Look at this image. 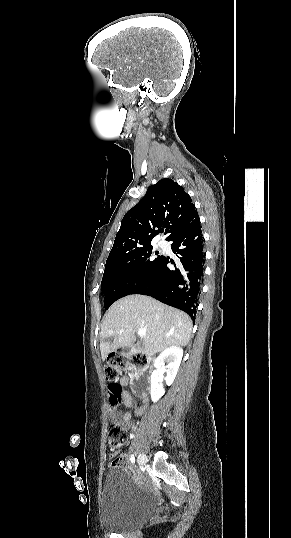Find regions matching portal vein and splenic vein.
<instances>
[{
  "instance_id": "portal-vein-and-splenic-vein-1",
  "label": "portal vein and splenic vein",
  "mask_w": 291,
  "mask_h": 538,
  "mask_svg": "<svg viewBox=\"0 0 291 538\" xmlns=\"http://www.w3.org/2000/svg\"><path fill=\"white\" fill-rule=\"evenodd\" d=\"M122 332H123V330L120 331V333H122ZM138 335H139L140 337H144V336L146 335V330H144V329H138Z\"/></svg>"
}]
</instances>
